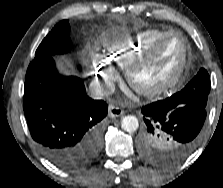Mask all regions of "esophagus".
Instances as JSON below:
<instances>
[{
    "label": "esophagus",
    "instance_id": "esophagus-1",
    "mask_svg": "<svg viewBox=\"0 0 223 188\" xmlns=\"http://www.w3.org/2000/svg\"><path fill=\"white\" fill-rule=\"evenodd\" d=\"M123 114H124V111L118 106H115L113 104L109 105V111H108L109 117L116 118V117L122 116Z\"/></svg>",
    "mask_w": 223,
    "mask_h": 188
}]
</instances>
